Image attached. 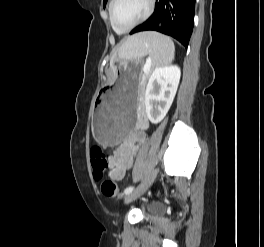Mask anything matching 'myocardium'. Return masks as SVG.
Segmentation results:
<instances>
[{
	"mask_svg": "<svg viewBox=\"0 0 264 247\" xmlns=\"http://www.w3.org/2000/svg\"><path fill=\"white\" fill-rule=\"evenodd\" d=\"M148 8L146 13L135 23L126 26V27H121L117 24L116 20H115V8L116 5L118 3V0H112L110 8H109V17H110V22L111 25L115 28V30H117L118 32H127L130 31L132 29H134L135 27L141 25L142 23H144L147 19H149V17L152 15L154 9H155V0H148Z\"/></svg>",
	"mask_w": 264,
	"mask_h": 247,
	"instance_id": "f54148a6",
	"label": "myocardium"
}]
</instances>
